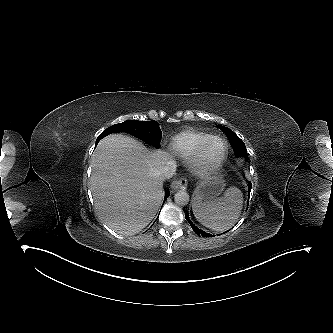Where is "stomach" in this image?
<instances>
[{
  "instance_id": "stomach-1",
  "label": "stomach",
  "mask_w": 333,
  "mask_h": 333,
  "mask_svg": "<svg viewBox=\"0 0 333 333\" xmlns=\"http://www.w3.org/2000/svg\"><path fill=\"white\" fill-rule=\"evenodd\" d=\"M225 186L221 177H208L196 189V198L202 201L214 200L221 194Z\"/></svg>"
}]
</instances>
